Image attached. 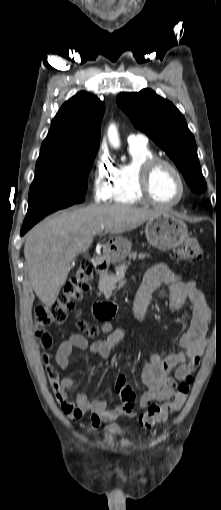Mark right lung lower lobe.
Returning a JSON list of instances; mask_svg holds the SVG:
<instances>
[{
    "label": "right lung lower lobe",
    "mask_w": 221,
    "mask_h": 510,
    "mask_svg": "<svg viewBox=\"0 0 221 510\" xmlns=\"http://www.w3.org/2000/svg\"><path fill=\"white\" fill-rule=\"evenodd\" d=\"M54 211L56 210L41 205H29L27 215L21 228V235H24L34 224Z\"/></svg>",
    "instance_id": "98d812e1"
}]
</instances>
